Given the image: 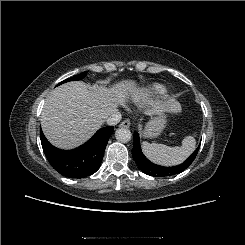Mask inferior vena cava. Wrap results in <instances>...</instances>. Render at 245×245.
<instances>
[{"label":"inferior vena cava","mask_w":245,"mask_h":245,"mask_svg":"<svg viewBox=\"0 0 245 245\" xmlns=\"http://www.w3.org/2000/svg\"><path fill=\"white\" fill-rule=\"evenodd\" d=\"M121 118H122L121 114L119 112H116V113H113L112 115H110L109 117H107L105 119V123L107 125L114 126L120 122Z\"/></svg>","instance_id":"obj_1"}]
</instances>
